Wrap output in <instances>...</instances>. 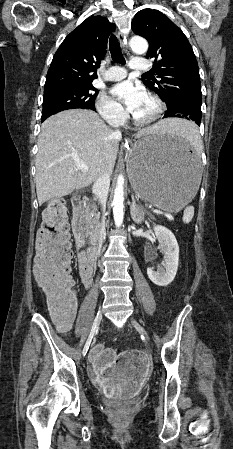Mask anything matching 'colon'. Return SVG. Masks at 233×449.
<instances>
[{
    "mask_svg": "<svg viewBox=\"0 0 233 449\" xmlns=\"http://www.w3.org/2000/svg\"><path fill=\"white\" fill-rule=\"evenodd\" d=\"M36 250V280L46 295L52 313L59 319H67L75 309L76 296L71 276L72 251L65 199H55L45 208Z\"/></svg>",
    "mask_w": 233,
    "mask_h": 449,
    "instance_id": "5ec220e1",
    "label": "colon"
}]
</instances>
